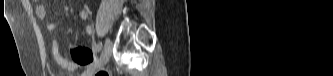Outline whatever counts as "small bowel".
Listing matches in <instances>:
<instances>
[{
  "instance_id": "obj_1",
  "label": "small bowel",
  "mask_w": 333,
  "mask_h": 76,
  "mask_svg": "<svg viewBox=\"0 0 333 76\" xmlns=\"http://www.w3.org/2000/svg\"><path fill=\"white\" fill-rule=\"evenodd\" d=\"M47 12V8L44 4L37 5L36 13L39 18H45L47 16ZM81 18L83 21L87 22L89 20V12L87 10H82ZM65 25L66 23L64 21H61L58 24H49L47 28L53 31L58 28H62ZM85 30L88 35H92L94 32L93 27L90 24L86 25ZM89 49V44H78L77 47H73L71 49L72 59H69L61 55L60 46L57 40H53L51 45L52 55L55 58L56 62L61 68L67 71H73L78 67V65H85L86 63H88L91 60V57H93L94 55L93 50Z\"/></svg>"
}]
</instances>
